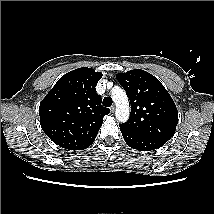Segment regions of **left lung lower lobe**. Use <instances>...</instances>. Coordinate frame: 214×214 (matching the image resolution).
Instances as JSON below:
<instances>
[{
	"label": "left lung lower lobe",
	"instance_id": "obj_1",
	"mask_svg": "<svg viewBox=\"0 0 214 214\" xmlns=\"http://www.w3.org/2000/svg\"><path fill=\"white\" fill-rule=\"evenodd\" d=\"M123 138L128 146L140 151H150L160 148L165 142L146 137L140 134L132 133L130 131L120 128Z\"/></svg>",
	"mask_w": 214,
	"mask_h": 214
}]
</instances>
